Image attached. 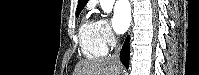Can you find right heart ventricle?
<instances>
[{"label":"right heart ventricle","mask_w":199,"mask_h":75,"mask_svg":"<svg viewBox=\"0 0 199 75\" xmlns=\"http://www.w3.org/2000/svg\"><path fill=\"white\" fill-rule=\"evenodd\" d=\"M79 41L81 51L87 58H101L108 52L107 45L101 39L97 21H83L79 29Z\"/></svg>","instance_id":"obj_1"}]
</instances>
